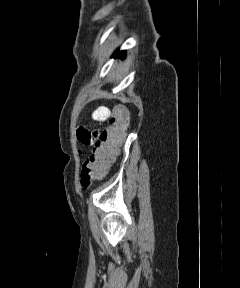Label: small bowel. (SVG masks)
I'll return each mask as SVG.
<instances>
[{"label":"small bowel","instance_id":"c3829d8e","mask_svg":"<svg viewBox=\"0 0 240 288\" xmlns=\"http://www.w3.org/2000/svg\"><path fill=\"white\" fill-rule=\"evenodd\" d=\"M111 116V110L105 106L97 107L92 113V120L95 123H104ZM99 132L97 130H89L86 127H79L76 131V136L79 142L85 146H91L96 143L99 137Z\"/></svg>","mask_w":240,"mask_h":288}]
</instances>
